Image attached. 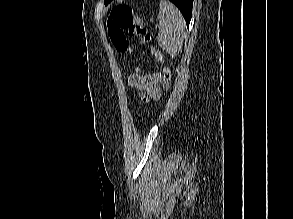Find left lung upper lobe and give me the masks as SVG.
<instances>
[{
	"mask_svg": "<svg viewBox=\"0 0 293 219\" xmlns=\"http://www.w3.org/2000/svg\"><path fill=\"white\" fill-rule=\"evenodd\" d=\"M112 0H104V4L107 5L108 3H110Z\"/></svg>",
	"mask_w": 293,
	"mask_h": 219,
	"instance_id": "5c2ea615",
	"label": "left lung upper lobe"
}]
</instances>
